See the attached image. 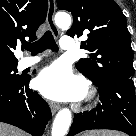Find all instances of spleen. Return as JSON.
Segmentation results:
<instances>
[{"label": "spleen", "instance_id": "3e777b00", "mask_svg": "<svg viewBox=\"0 0 136 136\" xmlns=\"http://www.w3.org/2000/svg\"><path fill=\"white\" fill-rule=\"evenodd\" d=\"M83 136H122V135L113 131H91L85 133Z\"/></svg>", "mask_w": 136, "mask_h": 136}]
</instances>
